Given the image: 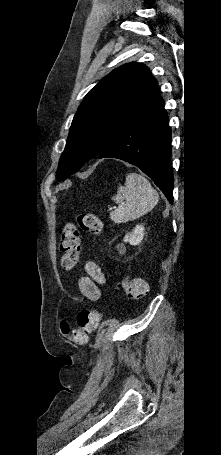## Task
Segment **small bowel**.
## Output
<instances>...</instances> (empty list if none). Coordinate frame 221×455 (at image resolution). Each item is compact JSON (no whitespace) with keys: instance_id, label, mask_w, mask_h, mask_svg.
<instances>
[{"instance_id":"small-bowel-1","label":"small bowel","mask_w":221,"mask_h":455,"mask_svg":"<svg viewBox=\"0 0 221 455\" xmlns=\"http://www.w3.org/2000/svg\"><path fill=\"white\" fill-rule=\"evenodd\" d=\"M86 276L78 282L81 295L91 301H97L100 298V286L105 283V276L100 267L92 260L87 259L84 264Z\"/></svg>"}]
</instances>
